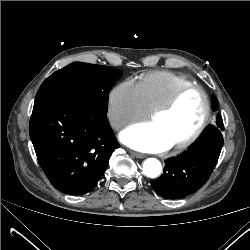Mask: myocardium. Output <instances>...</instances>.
I'll use <instances>...</instances> for the list:
<instances>
[{"instance_id": "obj_1", "label": "myocardium", "mask_w": 250, "mask_h": 250, "mask_svg": "<svg viewBox=\"0 0 250 250\" xmlns=\"http://www.w3.org/2000/svg\"><path fill=\"white\" fill-rule=\"evenodd\" d=\"M190 91H197L201 94L204 101V114L200 124L191 135L173 144V148L178 150L184 149L193 144L201 136V134L204 132L209 123L211 116V101L206 91L197 84L185 85L175 91L173 95L164 104L152 110L150 115V118L153 119L156 116H160L170 112L176 106L179 100L183 97V95Z\"/></svg>"}]
</instances>
